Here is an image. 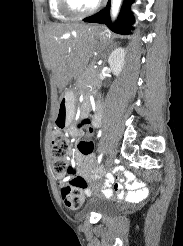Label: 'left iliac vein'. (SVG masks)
Returning a JSON list of instances; mask_svg holds the SVG:
<instances>
[{"label":"left iliac vein","instance_id":"left-iliac-vein-1","mask_svg":"<svg viewBox=\"0 0 183 246\" xmlns=\"http://www.w3.org/2000/svg\"><path fill=\"white\" fill-rule=\"evenodd\" d=\"M115 158H116V151L111 150L106 159V166L107 167L111 166L114 163Z\"/></svg>","mask_w":183,"mask_h":246}]
</instances>
